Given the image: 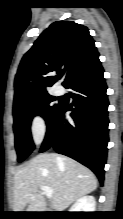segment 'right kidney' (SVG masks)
<instances>
[{
    "instance_id": "1",
    "label": "right kidney",
    "mask_w": 123,
    "mask_h": 219,
    "mask_svg": "<svg viewBox=\"0 0 123 219\" xmlns=\"http://www.w3.org/2000/svg\"><path fill=\"white\" fill-rule=\"evenodd\" d=\"M96 201L93 196H83L70 208V212H95Z\"/></svg>"
}]
</instances>
